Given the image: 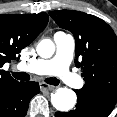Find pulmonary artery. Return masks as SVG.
I'll return each instance as SVG.
<instances>
[{
	"mask_svg": "<svg viewBox=\"0 0 117 117\" xmlns=\"http://www.w3.org/2000/svg\"><path fill=\"white\" fill-rule=\"evenodd\" d=\"M53 39L56 52L52 58L21 63L18 68L39 75H54L68 86L79 88L82 85L81 78L69 69L75 50V38L69 33L60 31L54 34Z\"/></svg>",
	"mask_w": 117,
	"mask_h": 117,
	"instance_id": "obj_1",
	"label": "pulmonary artery"
}]
</instances>
